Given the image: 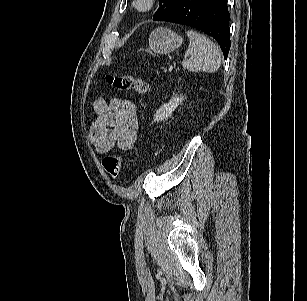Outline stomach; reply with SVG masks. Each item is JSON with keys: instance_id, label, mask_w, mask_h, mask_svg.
Listing matches in <instances>:
<instances>
[{"instance_id": "obj_1", "label": "stomach", "mask_w": 307, "mask_h": 301, "mask_svg": "<svg viewBox=\"0 0 307 301\" xmlns=\"http://www.w3.org/2000/svg\"><path fill=\"white\" fill-rule=\"evenodd\" d=\"M183 43V38L167 28H157L149 37L150 49L158 54H168Z\"/></svg>"}]
</instances>
